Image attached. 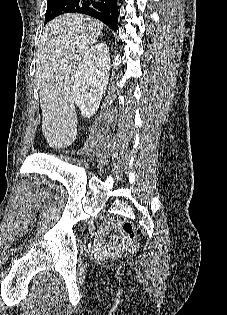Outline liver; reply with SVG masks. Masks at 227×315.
Listing matches in <instances>:
<instances>
[{"label": "liver", "instance_id": "obj_1", "mask_svg": "<svg viewBox=\"0 0 227 315\" xmlns=\"http://www.w3.org/2000/svg\"><path fill=\"white\" fill-rule=\"evenodd\" d=\"M103 24L68 13L44 28L37 53L36 79L42 110V132L49 146L64 148L77 136L74 77L82 57L96 43Z\"/></svg>", "mask_w": 227, "mask_h": 315}]
</instances>
